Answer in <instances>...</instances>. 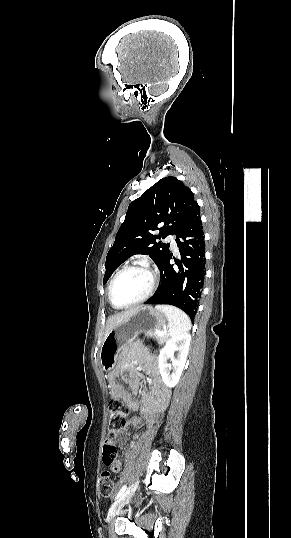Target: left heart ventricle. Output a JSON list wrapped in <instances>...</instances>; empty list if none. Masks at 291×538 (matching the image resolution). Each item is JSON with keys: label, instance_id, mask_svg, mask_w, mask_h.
<instances>
[{"label": "left heart ventricle", "instance_id": "left-heart-ventricle-1", "mask_svg": "<svg viewBox=\"0 0 291 538\" xmlns=\"http://www.w3.org/2000/svg\"><path fill=\"white\" fill-rule=\"evenodd\" d=\"M151 279L141 270H130L121 274L113 287V300L124 305L142 297L149 289Z\"/></svg>", "mask_w": 291, "mask_h": 538}]
</instances>
